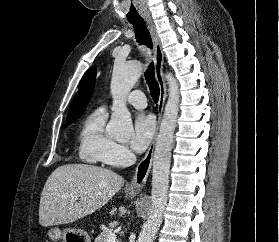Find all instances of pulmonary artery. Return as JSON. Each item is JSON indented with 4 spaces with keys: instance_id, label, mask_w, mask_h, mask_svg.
Wrapping results in <instances>:
<instances>
[{
    "instance_id": "e3ab8cb5",
    "label": "pulmonary artery",
    "mask_w": 279,
    "mask_h": 242,
    "mask_svg": "<svg viewBox=\"0 0 279 242\" xmlns=\"http://www.w3.org/2000/svg\"><path fill=\"white\" fill-rule=\"evenodd\" d=\"M126 101L135 108L143 109L147 106L146 96L142 91H133L126 98Z\"/></svg>"
}]
</instances>
